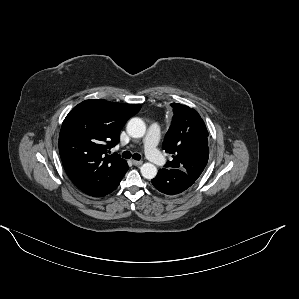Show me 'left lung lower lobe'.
Returning a JSON list of instances; mask_svg holds the SVG:
<instances>
[{"label": "left lung lower lobe", "instance_id": "left-lung-lower-lobe-1", "mask_svg": "<svg viewBox=\"0 0 299 299\" xmlns=\"http://www.w3.org/2000/svg\"><path fill=\"white\" fill-rule=\"evenodd\" d=\"M151 182L160 192L175 195L185 191L195 181L180 169L163 168L158 171L157 176Z\"/></svg>", "mask_w": 299, "mask_h": 299}]
</instances>
